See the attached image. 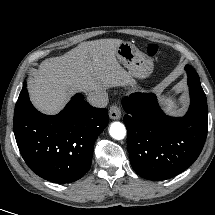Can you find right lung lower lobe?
<instances>
[{
	"instance_id": "98d812e1",
	"label": "right lung lower lobe",
	"mask_w": 215,
	"mask_h": 215,
	"mask_svg": "<svg viewBox=\"0 0 215 215\" xmlns=\"http://www.w3.org/2000/svg\"><path fill=\"white\" fill-rule=\"evenodd\" d=\"M26 109L13 122L20 153L38 176L54 183L80 179L89 170L96 138L108 125L107 109L92 107L76 94L57 115L48 116L31 104L26 82L19 98Z\"/></svg>"
}]
</instances>
